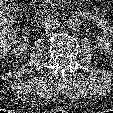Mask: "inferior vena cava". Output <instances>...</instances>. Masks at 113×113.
I'll return each mask as SVG.
<instances>
[{
    "instance_id": "inferior-vena-cava-1",
    "label": "inferior vena cava",
    "mask_w": 113,
    "mask_h": 113,
    "mask_svg": "<svg viewBox=\"0 0 113 113\" xmlns=\"http://www.w3.org/2000/svg\"><path fill=\"white\" fill-rule=\"evenodd\" d=\"M43 27L46 31H52L60 27V23L57 19L48 18L43 23Z\"/></svg>"
}]
</instances>
